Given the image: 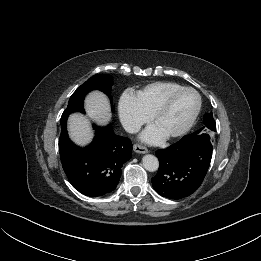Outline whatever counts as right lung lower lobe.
<instances>
[{
    "label": "right lung lower lobe",
    "mask_w": 261,
    "mask_h": 261,
    "mask_svg": "<svg viewBox=\"0 0 261 261\" xmlns=\"http://www.w3.org/2000/svg\"><path fill=\"white\" fill-rule=\"evenodd\" d=\"M96 136L87 147L73 144L61 123L59 151L62 167L70 183L82 194L98 197L114 191L123 164L132 157L130 139L115 135L111 126L94 125Z\"/></svg>",
    "instance_id": "right-lung-lower-lobe-1"
}]
</instances>
